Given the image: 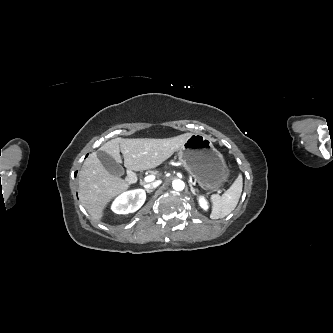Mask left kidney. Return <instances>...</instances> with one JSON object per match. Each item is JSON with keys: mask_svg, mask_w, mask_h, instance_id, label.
<instances>
[{"mask_svg": "<svg viewBox=\"0 0 333 333\" xmlns=\"http://www.w3.org/2000/svg\"><path fill=\"white\" fill-rule=\"evenodd\" d=\"M198 202L202 209H204V210L208 209V202L205 199V197H203V196L199 197Z\"/></svg>", "mask_w": 333, "mask_h": 333, "instance_id": "1", "label": "left kidney"}]
</instances>
